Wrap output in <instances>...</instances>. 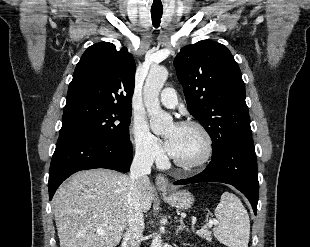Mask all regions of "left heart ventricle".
<instances>
[{
  "mask_svg": "<svg viewBox=\"0 0 310 247\" xmlns=\"http://www.w3.org/2000/svg\"><path fill=\"white\" fill-rule=\"evenodd\" d=\"M165 134L167 137H174L175 150L172 156L175 159L184 163H192L203 156L205 141L197 129L171 126Z\"/></svg>",
  "mask_w": 310,
  "mask_h": 247,
  "instance_id": "obj_1",
  "label": "left heart ventricle"
}]
</instances>
